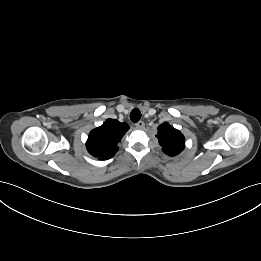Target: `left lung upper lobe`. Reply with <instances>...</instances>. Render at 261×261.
I'll return each mask as SVG.
<instances>
[{"label":"left lung upper lobe","instance_id":"5c2ea615","mask_svg":"<svg viewBox=\"0 0 261 261\" xmlns=\"http://www.w3.org/2000/svg\"><path fill=\"white\" fill-rule=\"evenodd\" d=\"M158 138L159 144L162 146V150L169 156H176L183 151L184 136L182 133L170 126L168 123H163L158 127Z\"/></svg>","mask_w":261,"mask_h":261}]
</instances>
